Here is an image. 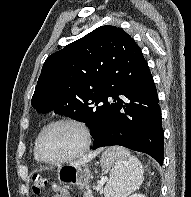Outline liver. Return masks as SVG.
Returning a JSON list of instances; mask_svg holds the SVG:
<instances>
[{
  "label": "liver",
  "mask_w": 191,
  "mask_h": 197,
  "mask_svg": "<svg viewBox=\"0 0 191 197\" xmlns=\"http://www.w3.org/2000/svg\"><path fill=\"white\" fill-rule=\"evenodd\" d=\"M99 152L100 151L93 152V153L89 154L88 156H85V157L81 158L80 160L73 162L72 165L79 166V165L86 164L89 161H91L93 158H95Z\"/></svg>",
  "instance_id": "obj_1"
}]
</instances>
